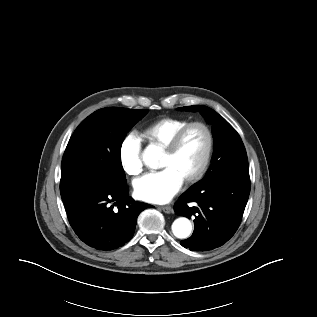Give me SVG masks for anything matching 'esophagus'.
Instances as JSON below:
<instances>
[{
  "instance_id": "34e87169",
  "label": "esophagus",
  "mask_w": 317,
  "mask_h": 317,
  "mask_svg": "<svg viewBox=\"0 0 317 317\" xmlns=\"http://www.w3.org/2000/svg\"><path fill=\"white\" fill-rule=\"evenodd\" d=\"M161 209L167 214H170L173 212V208L171 206H162Z\"/></svg>"
}]
</instances>
